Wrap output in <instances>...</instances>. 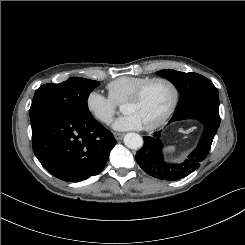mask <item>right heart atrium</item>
<instances>
[{"instance_id":"d8ad5b80","label":"right heart atrium","mask_w":245,"mask_h":245,"mask_svg":"<svg viewBox=\"0 0 245 245\" xmlns=\"http://www.w3.org/2000/svg\"><path fill=\"white\" fill-rule=\"evenodd\" d=\"M85 105L91 116L105 125L112 121L116 112V103L98 90H92L87 94Z\"/></svg>"}]
</instances>
